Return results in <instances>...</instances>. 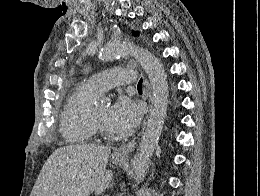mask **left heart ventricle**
Listing matches in <instances>:
<instances>
[{"instance_id":"obj_1","label":"left heart ventricle","mask_w":260,"mask_h":196,"mask_svg":"<svg viewBox=\"0 0 260 196\" xmlns=\"http://www.w3.org/2000/svg\"><path fill=\"white\" fill-rule=\"evenodd\" d=\"M93 111L99 123L102 124L107 130H111L108 125V115L110 111L109 107L104 106V107L93 108Z\"/></svg>"}]
</instances>
